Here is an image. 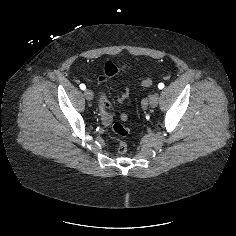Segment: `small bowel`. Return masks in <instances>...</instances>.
Instances as JSON below:
<instances>
[{"instance_id": "c3829d8e", "label": "small bowel", "mask_w": 236, "mask_h": 236, "mask_svg": "<svg viewBox=\"0 0 236 236\" xmlns=\"http://www.w3.org/2000/svg\"><path fill=\"white\" fill-rule=\"evenodd\" d=\"M126 71L125 65H116L111 61H106L103 68V74L99 77V96H100V118L104 125H109L113 119L112 107L109 104L106 94L105 86L109 78H115L119 75L124 74ZM131 92L129 87H125L123 93L118 98L119 102L125 103L130 102ZM120 119L125 121L128 118L127 113L121 112L119 115Z\"/></svg>"}]
</instances>
